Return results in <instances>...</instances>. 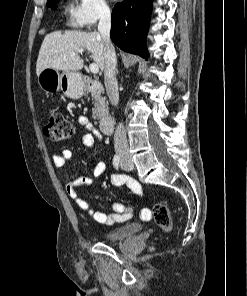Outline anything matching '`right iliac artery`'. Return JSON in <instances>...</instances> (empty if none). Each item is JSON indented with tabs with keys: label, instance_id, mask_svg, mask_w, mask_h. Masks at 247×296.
Listing matches in <instances>:
<instances>
[{
	"label": "right iliac artery",
	"instance_id": "obj_1",
	"mask_svg": "<svg viewBox=\"0 0 247 296\" xmlns=\"http://www.w3.org/2000/svg\"><path fill=\"white\" fill-rule=\"evenodd\" d=\"M119 165H120V156L119 155H115L113 158V166L116 169H119Z\"/></svg>",
	"mask_w": 247,
	"mask_h": 296
}]
</instances>
